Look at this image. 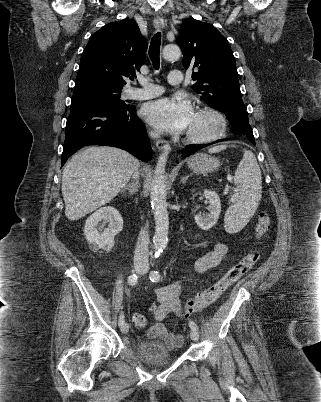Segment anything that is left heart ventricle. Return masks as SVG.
<instances>
[{
  "label": "left heart ventricle",
  "mask_w": 321,
  "mask_h": 402,
  "mask_svg": "<svg viewBox=\"0 0 321 402\" xmlns=\"http://www.w3.org/2000/svg\"><path fill=\"white\" fill-rule=\"evenodd\" d=\"M217 128V120L210 114L194 112L187 132L205 136L213 133Z\"/></svg>",
  "instance_id": "b2bd125f"
}]
</instances>
